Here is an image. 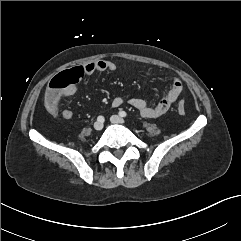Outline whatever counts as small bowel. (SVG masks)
I'll list each match as a JSON object with an SVG mask.
<instances>
[{
  "label": "small bowel",
  "instance_id": "small-bowel-1",
  "mask_svg": "<svg viewBox=\"0 0 241 241\" xmlns=\"http://www.w3.org/2000/svg\"><path fill=\"white\" fill-rule=\"evenodd\" d=\"M83 67L86 69V75L94 72H114L117 69V66L114 62L107 60L90 62L83 65ZM182 90L183 85L181 81L174 79L164 97L155 105H149L144 99L141 98H130L127 100V102L129 105L136 108L143 117L158 118L170 109L178 96L181 94ZM75 92L76 88L71 86L62 92L57 98H55L53 102L47 103V109L50 114L57 116L60 113L64 119H72L73 112L70 109L60 110V105L64 98L72 96ZM124 102V98L121 96H115L111 100V105L112 107L117 108L120 107Z\"/></svg>",
  "mask_w": 241,
  "mask_h": 241
}]
</instances>
